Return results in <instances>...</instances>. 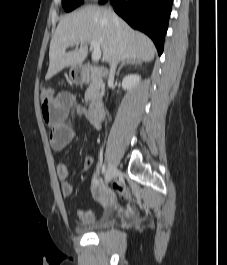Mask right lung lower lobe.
Listing matches in <instances>:
<instances>
[{"label": "right lung lower lobe", "mask_w": 227, "mask_h": 265, "mask_svg": "<svg viewBox=\"0 0 227 265\" xmlns=\"http://www.w3.org/2000/svg\"><path fill=\"white\" fill-rule=\"evenodd\" d=\"M115 12L133 28L146 33L163 52L173 0H110Z\"/></svg>", "instance_id": "98d812e1"}]
</instances>
